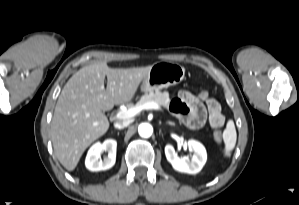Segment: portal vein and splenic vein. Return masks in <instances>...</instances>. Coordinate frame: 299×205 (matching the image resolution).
Instances as JSON below:
<instances>
[{
	"label": "portal vein and splenic vein",
	"mask_w": 299,
	"mask_h": 205,
	"mask_svg": "<svg viewBox=\"0 0 299 205\" xmlns=\"http://www.w3.org/2000/svg\"><path fill=\"white\" fill-rule=\"evenodd\" d=\"M144 109L159 110L160 106H159V104H157L155 102H147L143 105H137L135 107H132V108H129V109H126V110H121L115 115V118L120 119V120L129 119L131 117H134L135 115H137L138 113H140Z\"/></svg>",
	"instance_id": "18ae733b"
}]
</instances>
